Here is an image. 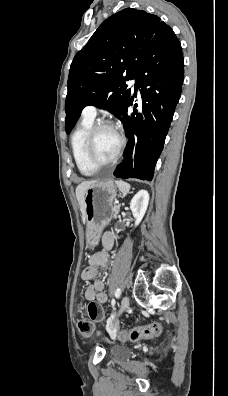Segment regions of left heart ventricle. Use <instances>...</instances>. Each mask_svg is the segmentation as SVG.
<instances>
[{
  "instance_id": "1",
  "label": "left heart ventricle",
  "mask_w": 228,
  "mask_h": 396,
  "mask_svg": "<svg viewBox=\"0 0 228 396\" xmlns=\"http://www.w3.org/2000/svg\"><path fill=\"white\" fill-rule=\"evenodd\" d=\"M119 146V137L110 127L101 128L95 136L93 143V157L99 163L112 159Z\"/></svg>"
}]
</instances>
